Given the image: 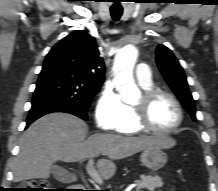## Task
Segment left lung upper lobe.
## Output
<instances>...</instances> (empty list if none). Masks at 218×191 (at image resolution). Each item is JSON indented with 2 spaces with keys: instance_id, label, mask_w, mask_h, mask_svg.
<instances>
[{
  "instance_id": "obj_1",
  "label": "left lung upper lobe",
  "mask_w": 218,
  "mask_h": 191,
  "mask_svg": "<svg viewBox=\"0 0 218 191\" xmlns=\"http://www.w3.org/2000/svg\"><path fill=\"white\" fill-rule=\"evenodd\" d=\"M156 61L166 82L174 91L193 120L196 121L195 103L188 89L186 76L177 58L169 48L159 45L156 50Z\"/></svg>"
}]
</instances>
